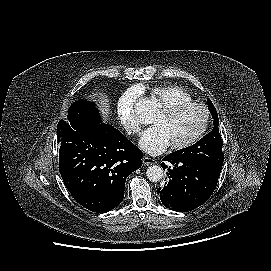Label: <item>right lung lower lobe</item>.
Instances as JSON below:
<instances>
[{"label": "right lung lower lobe", "mask_w": 271, "mask_h": 271, "mask_svg": "<svg viewBox=\"0 0 271 271\" xmlns=\"http://www.w3.org/2000/svg\"><path fill=\"white\" fill-rule=\"evenodd\" d=\"M60 120L59 171L73 198L93 212H108L123 200L126 178L143 154L119 130L100 119Z\"/></svg>", "instance_id": "98d812e1"}]
</instances>
